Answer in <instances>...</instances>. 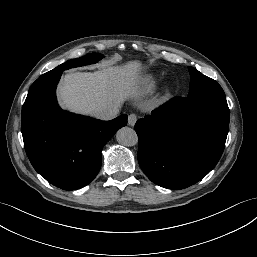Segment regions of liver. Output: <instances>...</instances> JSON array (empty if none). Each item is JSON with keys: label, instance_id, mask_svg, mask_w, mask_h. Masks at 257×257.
I'll list each match as a JSON object with an SVG mask.
<instances>
[{"label": "liver", "instance_id": "liver-1", "mask_svg": "<svg viewBox=\"0 0 257 257\" xmlns=\"http://www.w3.org/2000/svg\"><path fill=\"white\" fill-rule=\"evenodd\" d=\"M140 66L133 61L122 68L103 67L92 73L66 74L58 89V99L64 108L86 115H92L97 108L120 107L138 92Z\"/></svg>", "mask_w": 257, "mask_h": 257}]
</instances>
